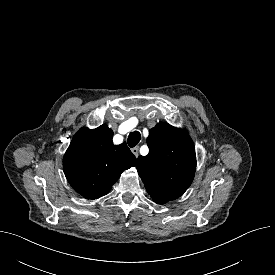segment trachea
<instances>
[{
	"instance_id": "1",
	"label": "trachea",
	"mask_w": 275,
	"mask_h": 275,
	"mask_svg": "<svg viewBox=\"0 0 275 275\" xmlns=\"http://www.w3.org/2000/svg\"><path fill=\"white\" fill-rule=\"evenodd\" d=\"M141 139V134L138 131L131 132L128 136L127 142L129 147H135Z\"/></svg>"
}]
</instances>
